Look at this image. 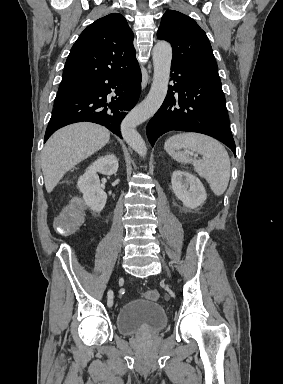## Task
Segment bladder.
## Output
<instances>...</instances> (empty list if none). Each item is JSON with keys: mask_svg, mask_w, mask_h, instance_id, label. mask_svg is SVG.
Listing matches in <instances>:
<instances>
[{"mask_svg": "<svg viewBox=\"0 0 283 384\" xmlns=\"http://www.w3.org/2000/svg\"><path fill=\"white\" fill-rule=\"evenodd\" d=\"M167 319L161 303L132 299L117 310L116 329L125 335L156 334L166 327Z\"/></svg>", "mask_w": 283, "mask_h": 384, "instance_id": "bladder-1", "label": "bladder"}]
</instances>
